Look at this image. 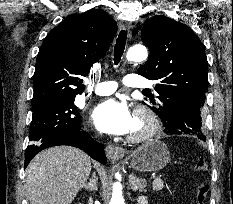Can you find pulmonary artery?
<instances>
[{
	"label": "pulmonary artery",
	"mask_w": 233,
	"mask_h": 204,
	"mask_svg": "<svg viewBox=\"0 0 233 204\" xmlns=\"http://www.w3.org/2000/svg\"><path fill=\"white\" fill-rule=\"evenodd\" d=\"M123 84L127 87L144 89L152 87L153 83L140 75L129 74L124 77ZM117 86L114 81L100 82L95 88V93L100 96L110 95L116 91Z\"/></svg>",
	"instance_id": "obj_1"
}]
</instances>
